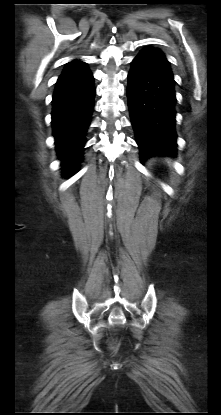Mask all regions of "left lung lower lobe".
I'll use <instances>...</instances> for the list:
<instances>
[{
    "mask_svg": "<svg viewBox=\"0 0 221 415\" xmlns=\"http://www.w3.org/2000/svg\"><path fill=\"white\" fill-rule=\"evenodd\" d=\"M128 108L141 160L176 153V96L169 66L152 55L138 54L131 62Z\"/></svg>",
    "mask_w": 221,
    "mask_h": 415,
    "instance_id": "1",
    "label": "left lung lower lobe"
}]
</instances>
